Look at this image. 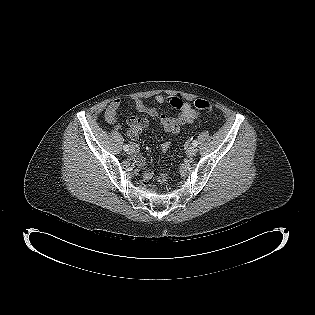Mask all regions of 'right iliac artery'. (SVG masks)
Wrapping results in <instances>:
<instances>
[{"mask_svg":"<svg viewBox=\"0 0 315 315\" xmlns=\"http://www.w3.org/2000/svg\"><path fill=\"white\" fill-rule=\"evenodd\" d=\"M123 149H124L125 151H128V150H129V146L125 144V145L123 146Z\"/></svg>","mask_w":315,"mask_h":315,"instance_id":"1","label":"right iliac artery"}]
</instances>
